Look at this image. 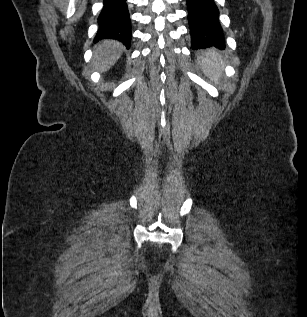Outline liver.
<instances>
[{"instance_id": "liver-1", "label": "liver", "mask_w": 307, "mask_h": 317, "mask_svg": "<svg viewBox=\"0 0 307 317\" xmlns=\"http://www.w3.org/2000/svg\"><path fill=\"white\" fill-rule=\"evenodd\" d=\"M123 45L115 40H103L94 48L92 67L99 72L108 71L121 57Z\"/></svg>"}]
</instances>
